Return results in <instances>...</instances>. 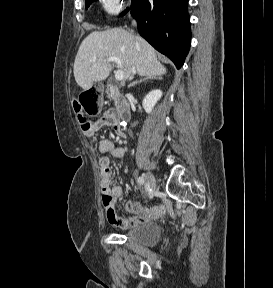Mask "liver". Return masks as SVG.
Masks as SVG:
<instances>
[{
    "label": "liver",
    "instance_id": "liver-1",
    "mask_svg": "<svg viewBox=\"0 0 273 288\" xmlns=\"http://www.w3.org/2000/svg\"><path fill=\"white\" fill-rule=\"evenodd\" d=\"M109 57L119 58V67L126 79L133 69L140 76L156 77L166 73V68L157 59L155 49L142 37L121 28L93 31L82 41L74 62V77L83 90L90 89L93 83L109 76Z\"/></svg>",
    "mask_w": 273,
    "mask_h": 288
}]
</instances>
